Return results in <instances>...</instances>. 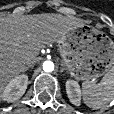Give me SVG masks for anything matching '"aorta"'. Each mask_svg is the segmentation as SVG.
I'll list each match as a JSON object with an SVG mask.
<instances>
[{"mask_svg":"<svg viewBox=\"0 0 114 114\" xmlns=\"http://www.w3.org/2000/svg\"><path fill=\"white\" fill-rule=\"evenodd\" d=\"M43 70L45 72H51L54 70V63L52 61H45L43 63Z\"/></svg>","mask_w":114,"mask_h":114,"instance_id":"obj_1","label":"aorta"}]
</instances>
